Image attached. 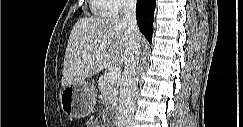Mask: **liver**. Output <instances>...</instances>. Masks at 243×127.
<instances>
[{"instance_id": "1", "label": "liver", "mask_w": 243, "mask_h": 127, "mask_svg": "<svg viewBox=\"0 0 243 127\" xmlns=\"http://www.w3.org/2000/svg\"><path fill=\"white\" fill-rule=\"evenodd\" d=\"M136 37L115 18H81L70 33L65 50L61 85L84 81L104 68H121L125 63L132 39Z\"/></svg>"}]
</instances>
